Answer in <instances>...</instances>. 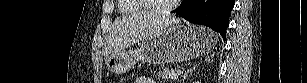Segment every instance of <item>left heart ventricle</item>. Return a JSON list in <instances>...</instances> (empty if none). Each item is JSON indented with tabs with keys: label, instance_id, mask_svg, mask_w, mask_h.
I'll use <instances>...</instances> for the list:
<instances>
[{
	"label": "left heart ventricle",
	"instance_id": "1",
	"mask_svg": "<svg viewBox=\"0 0 307 83\" xmlns=\"http://www.w3.org/2000/svg\"><path fill=\"white\" fill-rule=\"evenodd\" d=\"M171 1L172 0H151L148 3L152 9H158V8L166 6Z\"/></svg>",
	"mask_w": 307,
	"mask_h": 83
}]
</instances>
